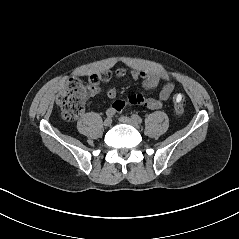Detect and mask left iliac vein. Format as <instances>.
Returning a JSON list of instances; mask_svg holds the SVG:
<instances>
[{
  "label": "left iliac vein",
  "instance_id": "1",
  "mask_svg": "<svg viewBox=\"0 0 239 239\" xmlns=\"http://www.w3.org/2000/svg\"><path fill=\"white\" fill-rule=\"evenodd\" d=\"M119 121L122 122V123H125V124H129L135 128H139L140 125L138 122H136L134 119L132 118H129L127 116H121L119 117Z\"/></svg>",
  "mask_w": 239,
  "mask_h": 239
}]
</instances>
